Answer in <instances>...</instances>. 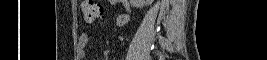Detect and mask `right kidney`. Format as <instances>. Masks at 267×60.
<instances>
[{
	"mask_svg": "<svg viewBox=\"0 0 267 60\" xmlns=\"http://www.w3.org/2000/svg\"><path fill=\"white\" fill-rule=\"evenodd\" d=\"M153 0H130L133 7L143 8L145 5H150Z\"/></svg>",
	"mask_w": 267,
	"mask_h": 60,
	"instance_id": "right-kidney-1",
	"label": "right kidney"
}]
</instances>
